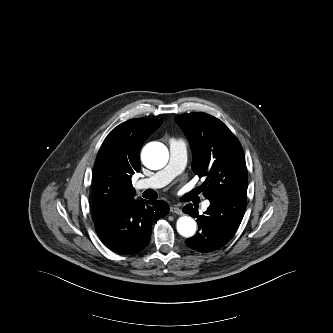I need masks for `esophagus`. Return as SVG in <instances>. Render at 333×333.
Instances as JSON below:
<instances>
[{
    "label": "esophagus",
    "mask_w": 333,
    "mask_h": 333,
    "mask_svg": "<svg viewBox=\"0 0 333 333\" xmlns=\"http://www.w3.org/2000/svg\"><path fill=\"white\" fill-rule=\"evenodd\" d=\"M170 211L172 213H175V214H178V215L183 214L182 210L180 208L176 207V206L170 207Z\"/></svg>",
    "instance_id": "esophagus-1"
}]
</instances>
